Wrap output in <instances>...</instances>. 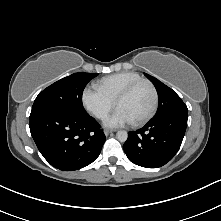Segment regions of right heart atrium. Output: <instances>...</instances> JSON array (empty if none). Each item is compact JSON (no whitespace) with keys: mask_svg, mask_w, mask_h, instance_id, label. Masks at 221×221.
<instances>
[{"mask_svg":"<svg viewBox=\"0 0 221 221\" xmlns=\"http://www.w3.org/2000/svg\"><path fill=\"white\" fill-rule=\"evenodd\" d=\"M85 109L97 119H105L114 108L115 102L98 88L86 87L82 92Z\"/></svg>","mask_w":221,"mask_h":221,"instance_id":"d8ad5b80","label":"right heart atrium"}]
</instances>
